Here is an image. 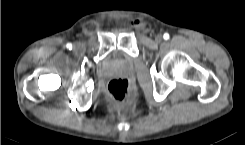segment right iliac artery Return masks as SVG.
<instances>
[{"label":"right iliac artery","instance_id":"right-iliac-artery-1","mask_svg":"<svg viewBox=\"0 0 245 145\" xmlns=\"http://www.w3.org/2000/svg\"><path fill=\"white\" fill-rule=\"evenodd\" d=\"M67 48L71 49L72 48V44H67Z\"/></svg>","mask_w":245,"mask_h":145}]
</instances>
